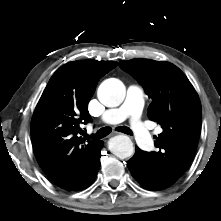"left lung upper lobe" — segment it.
I'll list each match as a JSON object with an SVG mask.
<instances>
[{"instance_id":"left-lung-upper-lobe-1","label":"left lung upper lobe","mask_w":221,"mask_h":221,"mask_svg":"<svg viewBox=\"0 0 221 221\" xmlns=\"http://www.w3.org/2000/svg\"><path fill=\"white\" fill-rule=\"evenodd\" d=\"M119 66L143 86L152 99L148 117L157 121L163 132L154 137V152H148L155 171L170 187L193 160L201 128L199 97L175 65L147 59L122 60Z\"/></svg>"}]
</instances>
